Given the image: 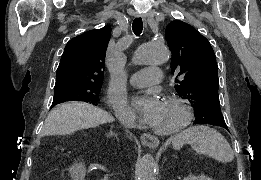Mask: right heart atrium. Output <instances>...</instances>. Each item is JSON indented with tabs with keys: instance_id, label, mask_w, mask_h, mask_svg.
Listing matches in <instances>:
<instances>
[{
	"instance_id": "1",
	"label": "right heart atrium",
	"mask_w": 261,
	"mask_h": 180,
	"mask_svg": "<svg viewBox=\"0 0 261 180\" xmlns=\"http://www.w3.org/2000/svg\"><path fill=\"white\" fill-rule=\"evenodd\" d=\"M105 103L115 114L126 113L128 115L124 97L115 90H108L105 96Z\"/></svg>"
}]
</instances>
